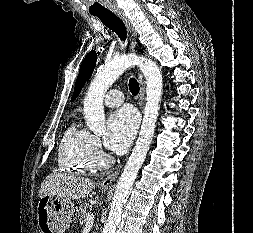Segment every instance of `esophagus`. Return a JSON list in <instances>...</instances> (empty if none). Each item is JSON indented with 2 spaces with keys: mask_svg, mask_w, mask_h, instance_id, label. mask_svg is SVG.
Listing matches in <instances>:
<instances>
[{
  "mask_svg": "<svg viewBox=\"0 0 253 233\" xmlns=\"http://www.w3.org/2000/svg\"><path fill=\"white\" fill-rule=\"evenodd\" d=\"M115 14L125 23L127 29L129 30V32L132 35V47H135L137 42H136V38H137V34L134 30V27L132 26L130 20L125 16V14L121 11H115ZM138 80H139V84H140V93H139V106L142 107L145 101V80L144 77L142 75V73L138 72ZM121 170V166L116 169L113 173L109 174L107 177H105L101 182L100 185L103 187H109L112 186L113 183L115 182V180L117 179L119 172Z\"/></svg>",
  "mask_w": 253,
  "mask_h": 233,
  "instance_id": "obj_1",
  "label": "esophagus"
}]
</instances>
